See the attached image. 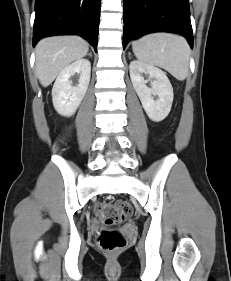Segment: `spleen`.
Here are the masks:
<instances>
[{"mask_svg":"<svg viewBox=\"0 0 231 281\" xmlns=\"http://www.w3.org/2000/svg\"><path fill=\"white\" fill-rule=\"evenodd\" d=\"M135 56L144 63L161 67L177 80L189 72L190 47L186 39L169 33H153L132 43Z\"/></svg>","mask_w":231,"mask_h":281,"instance_id":"1","label":"spleen"}]
</instances>
